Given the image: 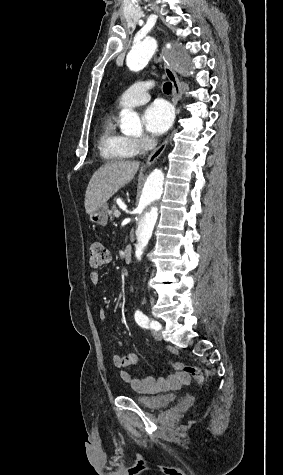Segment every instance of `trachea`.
<instances>
[{
  "mask_svg": "<svg viewBox=\"0 0 283 475\" xmlns=\"http://www.w3.org/2000/svg\"><path fill=\"white\" fill-rule=\"evenodd\" d=\"M171 90H172V83H170V82L164 83V85H163V91H164L165 93H170Z\"/></svg>",
  "mask_w": 283,
  "mask_h": 475,
  "instance_id": "trachea-1",
  "label": "trachea"
}]
</instances>
